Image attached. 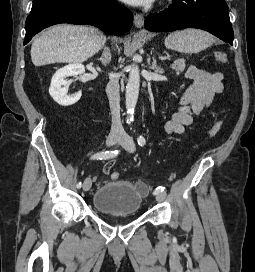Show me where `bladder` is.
<instances>
[{
	"label": "bladder",
	"mask_w": 255,
	"mask_h": 272,
	"mask_svg": "<svg viewBox=\"0 0 255 272\" xmlns=\"http://www.w3.org/2000/svg\"><path fill=\"white\" fill-rule=\"evenodd\" d=\"M142 193L125 180L110 181L99 187L92 198L93 206L103 215L133 216L142 205Z\"/></svg>",
	"instance_id": "31cf9c89"
}]
</instances>
